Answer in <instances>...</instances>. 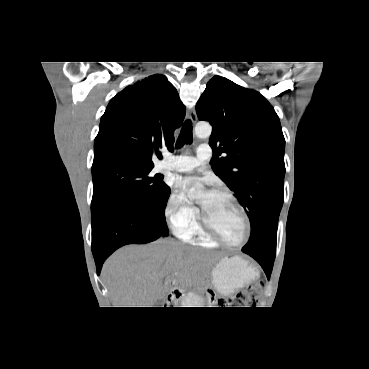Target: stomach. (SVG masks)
Here are the masks:
<instances>
[{
    "mask_svg": "<svg viewBox=\"0 0 369 369\" xmlns=\"http://www.w3.org/2000/svg\"><path fill=\"white\" fill-rule=\"evenodd\" d=\"M256 275L253 267L238 256L221 259L212 271L214 289L230 295L250 282Z\"/></svg>",
    "mask_w": 369,
    "mask_h": 369,
    "instance_id": "stomach-1",
    "label": "stomach"
}]
</instances>
